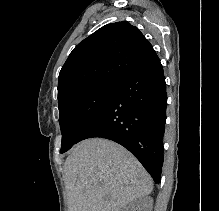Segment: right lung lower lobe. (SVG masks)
<instances>
[{
  "label": "right lung lower lobe",
  "mask_w": 219,
  "mask_h": 211,
  "mask_svg": "<svg viewBox=\"0 0 219 211\" xmlns=\"http://www.w3.org/2000/svg\"><path fill=\"white\" fill-rule=\"evenodd\" d=\"M166 83L159 58L124 78L76 143L93 137L129 150L160 183L166 122Z\"/></svg>",
  "instance_id": "right-lung-lower-lobe-1"
}]
</instances>
